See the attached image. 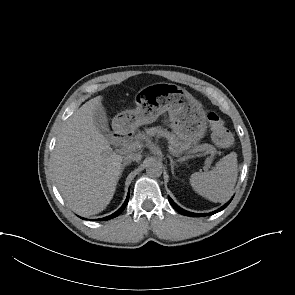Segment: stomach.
Instances as JSON below:
<instances>
[{
  "label": "stomach",
  "mask_w": 295,
  "mask_h": 295,
  "mask_svg": "<svg viewBox=\"0 0 295 295\" xmlns=\"http://www.w3.org/2000/svg\"><path fill=\"white\" fill-rule=\"evenodd\" d=\"M136 104V109L122 112L117 117L131 129L152 123L168 112L172 131L182 145L196 144L206 132V114L202 104L176 84L149 85L136 96Z\"/></svg>",
  "instance_id": "0dacf381"
}]
</instances>
